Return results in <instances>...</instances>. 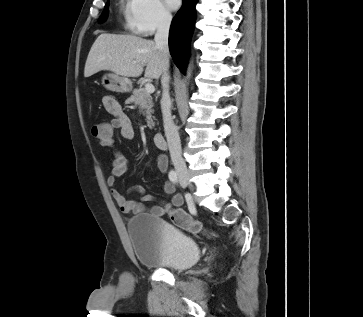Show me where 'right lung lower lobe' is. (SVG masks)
<instances>
[{
  "label": "right lung lower lobe",
  "mask_w": 363,
  "mask_h": 317,
  "mask_svg": "<svg viewBox=\"0 0 363 317\" xmlns=\"http://www.w3.org/2000/svg\"><path fill=\"white\" fill-rule=\"evenodd\" d=\"M197 0H183L175 15L169 34V48L176 66L184 73L188 59L189 42L195 22Z\"/></svg>",
  "instance_id": "1"
}]
</instances>
